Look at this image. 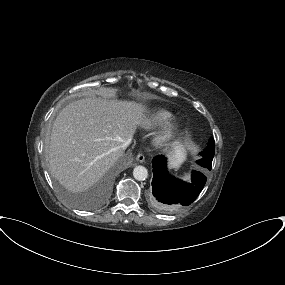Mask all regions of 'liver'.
Listing matches in <instances>:
<instances>
[{"mask_svg":"<svg viewBox=\"0 0 285 285\" xmlns=\"http://www.w3.org/2000/svg\"><path fill=\"white\" fill-rule=\"evenodd\" d=\"M148 123L147 108L135 101L103 95L70 103L52 126L47 149L51 174L70 191L87 190L122 155L121 145ZM183 155L176 146L173 157Z\"/></svg>","mask_w":285,"mask_h":285,"instance_id":"6515ba94","label":"liver"}]
</instances>
